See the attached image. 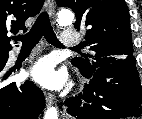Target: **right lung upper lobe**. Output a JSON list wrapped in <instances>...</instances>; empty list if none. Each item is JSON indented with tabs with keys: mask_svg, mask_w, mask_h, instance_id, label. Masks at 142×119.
Here are the masks:
<instances>
[{
	"mask_svg": "<svg viewBox=\"0 0 142 119\" xmlns=\"http://www.w3.org/2000/svg\"><path fill=\"white\" fill-rule=\"evenodd\" d=\"M43 3L44 0H0V55L12 49L7 33L26 31L25 21L37 15Z\"/></svg>",
	"mask_w": 142,
	"mask_h": 119,
	"instance_id": "1",
	"label": "right lung upper lobe"
}]
</instances>
